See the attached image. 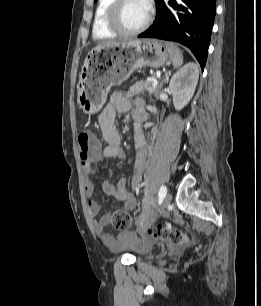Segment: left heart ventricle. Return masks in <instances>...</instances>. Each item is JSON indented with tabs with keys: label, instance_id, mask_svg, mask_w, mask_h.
<instances>
[{
	"label": "left heart ventricle",
	"instance_id": "left-heart-ventricle-1",
	"mask_svg": "<svg viewBox=\"0 0 261 306\" xmlns=\"http://www.w3.org/2000/svg\"><path fill=\"white\" fill-rule=\"evenodd\" d=\"M147 11L145 0H127L121 10V22L127 29H136L145 21Z\"/></svg>",
	"mask_w": 261,
	"mask_h": 306
}]
</instances>
